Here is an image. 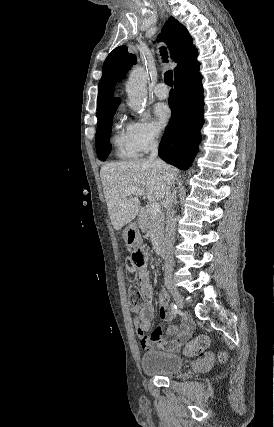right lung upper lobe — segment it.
<instances>
[{
  "mask_svg": "<svg viewBox=\"0 0 274 427\" xmlns=\"http://www.w3.org/2000/svg\"><path fill=\"white\" fill-rule=\"evenodd\" d=\"M158 40L167 43L171 58L178 63L174 69L175 77L199 63L191 36L186 27L174 17H170L165 23ZM135 63L136 56L129 54L126 46L115 48L107 56L103 64L102 78L99 81L97 113L119 104V98L113 97L114 85Z\"/></svg>",
  "mask_w": 274,
  "mask_h": 427,
  "instance_id": "right-lung-upper-lobe-1",
  "label": "right lung upper lobe"
}]
</instances>
